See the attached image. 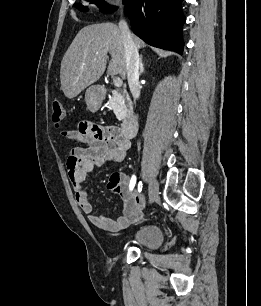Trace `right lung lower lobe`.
<instances>
[{"instance_id": "obj_1", "label": "right lung lower lobe", "mask_w": 261, "mask_h": 306, "mask_svg": "<svg viewBox=\"0 0 261 306\" xmlns=\"http://www.w3.org/2000/svg\"><path fill=\"white\" fill-rule=\"evenodd\" d=\"M183 0H130L125 12L136 35L146 43L182 54Z\"/></svg>"}]
</instances>
